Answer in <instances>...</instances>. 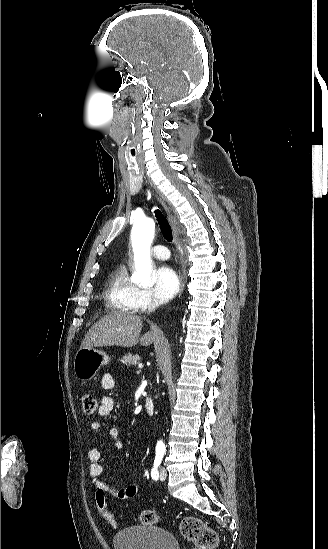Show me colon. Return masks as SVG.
Segmentation results:
<instances>
[{"instance_id":"obj_1","label":"colon","mask_w":328,"mask_h":549,"mask_svg":"<svg viewBox=\"0 0 328 549\" xmlns=\"http://www.w3.org/2000/svg\"><path fill=\"white\" fill-rule=\"evenodd\" d=\"M82 404L84 413L88 415L93 414L97 408L96 399L91 394L83 396ZM96 499L103 523L116 528L117 520L115 516L106 510L105 491L102 487L96 488ZM139 519L143 525H154L158 523L159 516L153 510H143ZM179 530L181 536L193 544L192 549H215L218 545L217 533L197 517H184L180 522Z\"/></svg>"}]
</instances>
